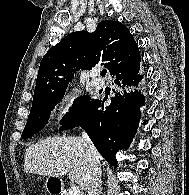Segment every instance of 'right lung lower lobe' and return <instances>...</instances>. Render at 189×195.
<instances>
[{
	"mask_svg": "<svg viewBox=\"0 0 189 195\" xmlns=\"http://www.w3.org/2000/svg\"><path fill=\"white\" fill-rule=\"evenodd\" d=\"M139 69L123 76H116L115 83L120 92L111 98V104L90 100L72 118L62 124L59 130L82 127L103 158L117 167L115 154L127 148L135 135L140 119V106L144 96L137 90L143 76Z\"/></svg>",
	"mask_w": 189,
	"mask_h": 195,
	"instance_id": "obj_1",
	"label": "right lung lower lobe"
}]
</instances>
